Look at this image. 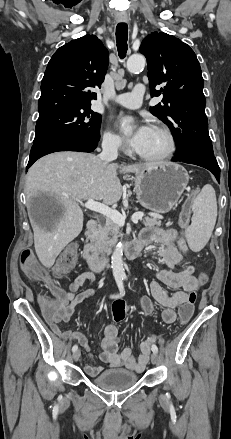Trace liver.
<instances>
[{
	"mask_svg": "<svg viewBox=\"0 0 231 439\" xmlns=\"http://www.w3.org/2000/svg\"><path fill=\"white\" fill-rule=\"evenodd\" d=\"M161 163L119 165L103 162L94 154L70 151L36 161L27 173L25 190L35 251L42 265L52 267L65 246L82 231L83 212L77 201L92 198L105 205L115 204L122 196L118 170L138 174ZM37 193L52 198L55 206L49 216L35 220L30 207Z\"/></svg>",
	"mask_w": 231,
	"mask_h": 439,
	"instance_id": "6515ba94",
	"label": "liver"
}]
</instances>
